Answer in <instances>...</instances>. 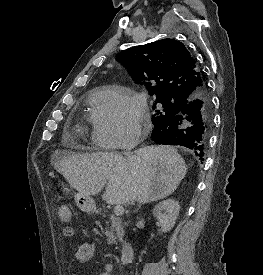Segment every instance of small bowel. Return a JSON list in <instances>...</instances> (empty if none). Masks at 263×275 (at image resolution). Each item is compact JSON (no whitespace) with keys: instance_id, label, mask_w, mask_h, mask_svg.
Segmentation results:
<instances>
[{"instance_id":"c3829d8e","label":"small bowel","mask_w":263,"mask_h":275,"mask_svg":"<svg viewBox=\"0 0 263 275\" xmlns=\"http://www.w3.org/2000/svg\"><path fill=\"white\" fill-rule=\"evenodd\" d=\"M63 235L65 237H72L74 235V229L72 227L64 228ZM74 257L79 263H86L92 260L94 257V246L89 242L80 244L74 253ZM112 272L113 266L111 264H106L103 271L99 275H112Z\"/></svg>"}]
</instances>
